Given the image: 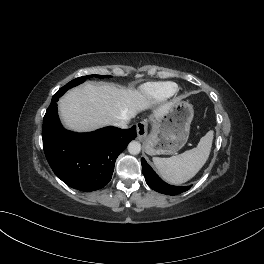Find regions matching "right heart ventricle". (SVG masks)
I'll return each mask as SVG.
<instances>
[{
    "label": "right heart ventricle",
    "instance_id": "1",
    "mask_svg": "<svg viewBox=\"0 0 264 264\" xmlns=\"http://www.w3.org/2000/svg\"><path fill=\"white\" fill-rule=\"evenodd\" d=\"M177 90L174 82H151L142 86V94L153 101H162L171 97Z\"/></svg>",
    "mask_w": 264,
    "mask_h": 264
}]
</instances>
